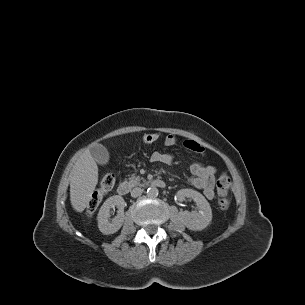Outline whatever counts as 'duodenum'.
Listing matches in <instances>:
<instances>
[{
	"mask_svg": "<svg viewBox=\"0 0 305 305\" xmlns=\"http://www.w3.org/2000/svg\"><path fill=\"white\" fill-rule=\"evenodd\" d=\"M151 185L153 187H158V188H164L166 186V183L162 179H155L151 182ZM131 186L129 182H121L117 188V192L121 196H125L130 192Z\"/></svg>",
	"mask_w": 305,
	"mask_h": 305,
	"instance_id": "1",
	"label": "duodenum"
}]
</instances>
